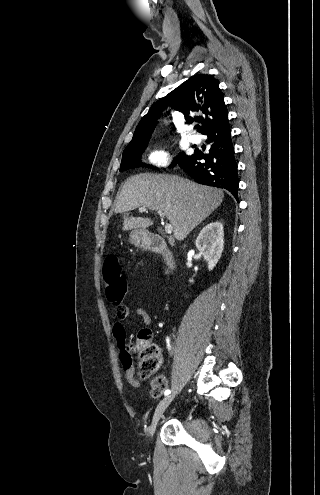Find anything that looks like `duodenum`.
Returning <instances> with one entry per match:
<instances>
[{
	"label": "duodenum",
	"instance_id": "obj_1",
	"mask_svg": "<svg viewBox=\"0 0 320 495\" xmlns=\"http://www.w3.org/2000/svg\"><path fill=\"white\" fill-rule=\"evenodd\" d=\"M143 242L150 251L160 253L164 257L168 269H172L174 267L172 253L160 236L155 234H146L143 238Z\"/></svg>",
	"mask_w": 320,
	"mask_h": 495
}]
</instances>
